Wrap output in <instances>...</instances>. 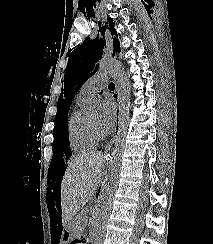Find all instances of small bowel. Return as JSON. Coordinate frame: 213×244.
Segmentation results:
<instances>
[{
  "instance_id": "c3829d8e",
  "label": "small bowel",
  "mask_w": 213,
  "mask_h": 244,
  "mask_svg": "<svg viewBox=\"0 0 213 244\" xmlns=\"http://www.w3.org/2000/svg\"><path fill=\"white\" fill-rule=\"evenodd\" d=\"M72 244H83V242H82V241H78V240H76V241H74Z\"/></svg>"
}]
</instances>
